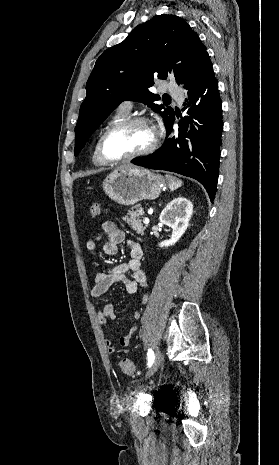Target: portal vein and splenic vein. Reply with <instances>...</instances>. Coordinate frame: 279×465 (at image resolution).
<instances>
[{
  "mask_svg": "<svg viewBox=\"0 0 279 465\" xmlns=\"http://www.w3.org/2000/svg\"><path fill=\"white\" fill-rule=\"evenodd\" d=\"M143 222H144L145 224H149V218H148V217H145L144 220H143Z\"/></svg>",
  "mask_w": 279,
  "mask_h": 465,
  "instance_id": "portal-vein-and-splenic-vein-1",
  "label": "portal vein and splenic vein"
}]
</instances>
